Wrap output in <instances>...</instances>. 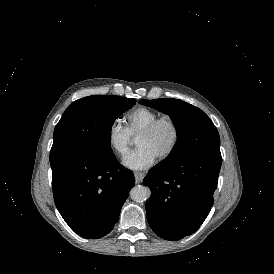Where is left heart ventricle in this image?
Instances as JSON below:
<instances>
[{
  "label": "left heart ventricle",
  "mask_w": 274,
  "mask_h": 274,
  "mask_svg": "<svg viewBox=\"0 0 274 274\" xmlns=\"http://www.w3.org/2000/svg\"><path fill=\"white\" fill-rule=\"evenodd\" d=\"M172 140V131L169 126H161L153 135L137 137L135 145L137 148L148 149L156 158L162 156L169 148Z\"/></svg>",
  "instance_id": "obj_1"
}]
</instances>
